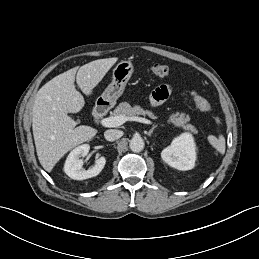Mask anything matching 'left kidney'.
Returning a JSON list of instances; mask_svg holds the SVG:
<instances>
[{"mask_svg":"<svg viewBox=\"0 0 259 259\" xmlns=\"http://www.w3.org/2000/svg\"><path fill=\"white\" fill-rule=\"evenodd\" d=\"M161 157L165 163L175 169L182 171L193 169L196 161L193 136L190 133H182L161 152Z\"/></svg>","mask_w":259,"mask_h":259,"instance_id":"left-kidney-1","label":"left kidney"}]
</instances>
